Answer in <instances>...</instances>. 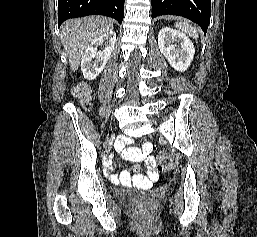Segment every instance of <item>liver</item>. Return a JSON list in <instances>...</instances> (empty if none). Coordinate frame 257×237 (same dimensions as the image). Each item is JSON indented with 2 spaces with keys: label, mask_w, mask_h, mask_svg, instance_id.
<instances>
[{
  "label": "liver",
  "mask_w": 257,
  "mask_h": 237,
  "mask_svg": "<svg viewBox=\"0 0 257 237\" xmlns=\"http://www.w3.org/2000/svg\"><path fill=\"white\" fill-rule=\"evenodd\" d=\"M112 29L111 20L100 16L71 19L61 26V39L72 71L78 69L90 43Z\"/></svg>",
  "instance_id": "6515ba94"
}]
</instances>
